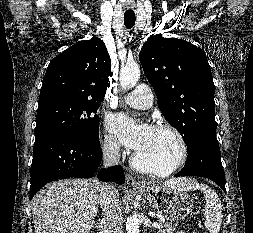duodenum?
I'll return each mask as SVG.
<instances>
[{
	"label": "duodenum",
	"instance_id": "410a0bca",
	"mask_svg": "<svg viewBox=\"0 0 253 233\" xmlns=\"http://www.w3.org/2000/svg\"><path fill=\"white\" fill-rule=\"evenodd\" d=\"M105 230H106V224L104 222H101L99 224V231H100L99 233H104Z\"/></svg>",
	"mask_w": 253,
	"mask_h": 233
}]
</instances>
